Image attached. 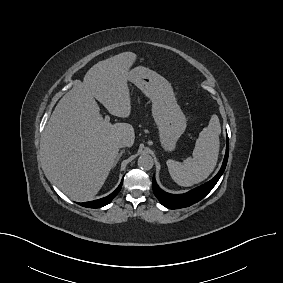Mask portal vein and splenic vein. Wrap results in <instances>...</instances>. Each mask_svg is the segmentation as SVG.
<instances>
[{
  "label": "portal vein and splenic vein",
  "mask_w": 283,
  "mask_h": 283,
  "mask_svg": "<svg viewBox=\"0 0 283 283\" xmlns=\"http://www.w3.org/2000/svg\"><path fill=\"white\" fill-rule=\"evenodd\" d=\"M106 122H109L110 121V117L108 115L105 116V119H104Z\"/></svg>",
  "instance_id": "18ae733b"
}]
</instances>
